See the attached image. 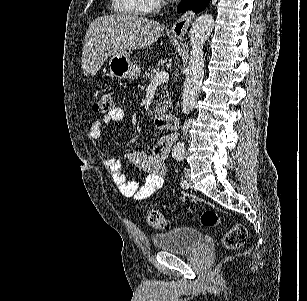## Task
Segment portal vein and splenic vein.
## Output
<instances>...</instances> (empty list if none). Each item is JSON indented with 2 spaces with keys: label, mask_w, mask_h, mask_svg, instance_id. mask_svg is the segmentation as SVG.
I'll return each instance as SVG.
<instances>
[{
  "label": "portal vein and splenic vein",
  "mask_w": 307,
  "mask_h": 301,
  "mask_svg": "<svg viewBox=\"0 0 307 301\" xmlns=\"http://www.w3.org/2000/svg\"><path fill=\"white\" fill-rule=\"evenodd\" d=\"M169 80V72L163 70V72H157L156 76H154L153 80H151L149 86H158L161 82H166Z\"/></svg>",
  "instance_id": "obj_1"
}]
</instances>
